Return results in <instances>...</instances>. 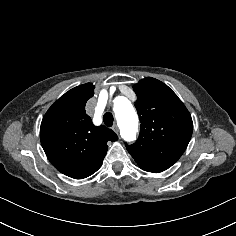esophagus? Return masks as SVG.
I'll return each instance as SVG.
<instances>
[{
  "mask_svg": "<svg viewBox=\"0 0 236 236\" xmlns=\"http://www.w3.org/2000/svg\"><path fill=\"white\" fill-rule=\"evenodd\" d=\"M112 129H113V131L115 132V133H119V129H118V126L116 125V124H114L113 126H112Z\"/></svg>",
  "mask_w": 236,
  "mask_h": 236,
  "instance_id": "1",
  "label": "esophagus"
}]
</instances>
